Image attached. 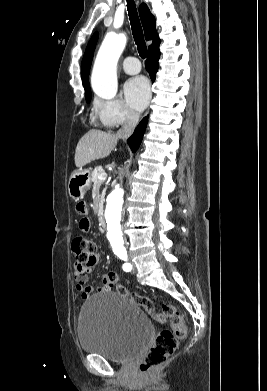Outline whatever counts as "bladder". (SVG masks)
I'll use <instances>...</instances> for the list:
<instances>
[{
    "label": "bladder",
    "mask_w": 267,
    "mask_h": 391,
    "mask_svg": "<svg viewBox=\"0 0 267 391\" xmlns=\"http://www.w3.org/2000/svg\"><path fill=\"white\" fill-rule=\"evenodd\" d=\"M152 332L140 307L113 291L91 297L80 309L77 334L82 350L110 361L126 362L139 355Z\"/></svg>",
    "instance_id": "bladder-1"
}]
</instances>
